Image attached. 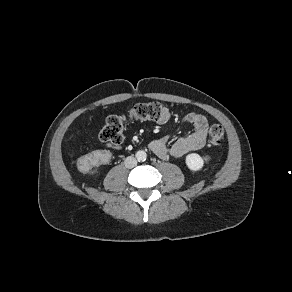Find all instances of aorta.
I'll list each match as a JSON object with an SVG mask.
<instances>
[{
  "label": "aorta",
  "instance_id": "aorta-1",
  "mask_svg": "<svg viewBox=\"0 0 292 292\" xmlns=\"http://www.w3.org/2000/svg\"><path fill=\"white\" fill-rule=\"evenodd\" d=\"M146 157H147V154L145 151L139 150L136 152V158L138 159V161H145Z\"/></svg>",
  "mask_w": 292,
  "mask_h": 292
}]
</instances>
